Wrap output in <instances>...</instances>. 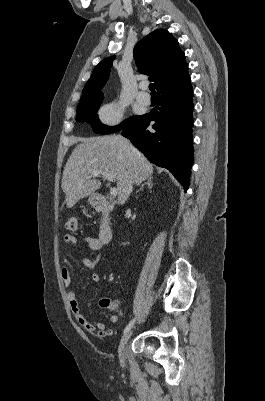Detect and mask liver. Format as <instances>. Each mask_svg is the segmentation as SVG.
Wrapping results in <instances>:
<instances>
[{
  "instance_id": "obj_1",
  "label": "liver",
  "mask_w": 265,
  "mask_h": 401,
  "mask_svg": "<svg viewBox=\"0 0 265 401\" xmlns=\"http://www.w3.org/2000/svg\"><path fill=\"white\" fill-rule=\"evenodd\" d=\"M78 140L81 142L72 150L63 170L62 188L67 209L100 188V180L90 176L92 170H105L116 178L118 205H124L129 184H140L153 172L151 162L124 136L110 134Z\"/></svg>"
}]
</instances>
